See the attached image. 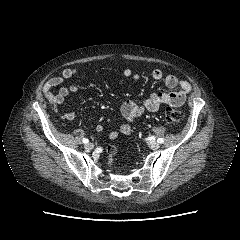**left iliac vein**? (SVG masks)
<instances>
[{"label":"left iliac vein","instance_id":"obj_1","mask_svg":"<svg viewBox=\"0 0 240 240\" xmlns=\"http://www.w3.org/2000/svg\"><path fill=\"white\" fill-rule=\"evenodd\" d=\"M149 147L153 150H157L160 147V145H159V143H157L155 141H151V142H149Z\"/></svg>","mask_w":240,"mask_h":240}]
</instances>
